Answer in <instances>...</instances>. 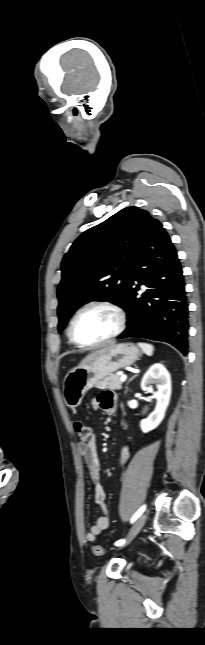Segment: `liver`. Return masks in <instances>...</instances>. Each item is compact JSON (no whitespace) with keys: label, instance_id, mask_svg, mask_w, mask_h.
Here are the masks:
<instances>
[{"label":"liver","instance_id":"obj_1","mask_svg":"<svg viewBox=\"0 0 205 645\" xmlns=\"http://www.w3.org/2000/svg\"><path fill=\"white\" fill-rule=\"evenodd\" d=\"M115 346H116V345H115V343H111V344H109L108 346H106V347H104V348H102V349H100V350H97V351H95V352H93V353L89 354L87 357H85V358L81 361V363L79 364V366H78V367H81V366H83L84 364L88 363L89 361H91V360H93V359L97 358L98 356H101V355H103V354H105V353H107V352L111 351Z\"/></svg>","mask_w":205,"mask_h":645}]
</instances>
